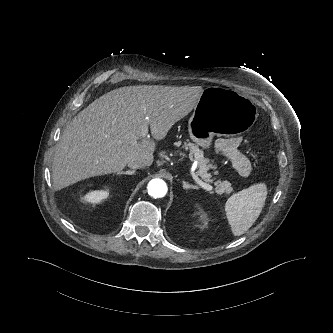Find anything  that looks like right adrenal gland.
<instances>
[{
    "mask_svg": "<svg viewBox=\"0 0 333 333\" xmlns=\"http://www.w3.org/2000/svg\"><path fill=\"white\" fill-rule=\"evenodd\" d=\"M134 173L135 170H127V171L118 172L117 175H133Z\"/></svg>",
    "mask_w": 333,
    "mask_h": 333,
    "instance_id": "1",
    "label": "right adrenal gland"
}]
</instances>
